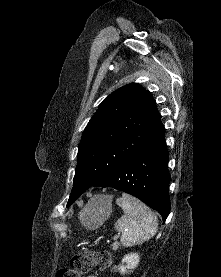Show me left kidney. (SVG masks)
<instances>
[{"instance_id": "1", "label": "left kidney", "mask_w": 221, "mask_h": 277, "mask_svg": "<svg viewBox=\"0 0 221 277\" xmlns=\"http://www.w3.org/2000/svg\"><path fill=\"white\" fill-rule=\"evenodd\" d=\"M140 260V256L137 253L127 254L122 259V264L118 266V271L121 274H125L128 270H132L137 267Z\"/></svg>"}]
</instances>
